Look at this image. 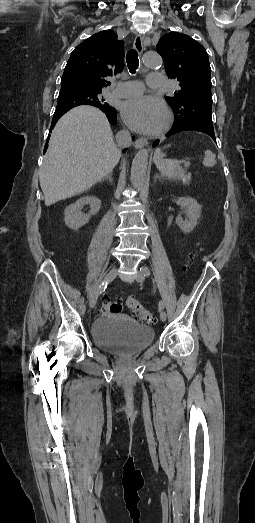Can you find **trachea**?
Listing matches in <instances>:
<instances>
[{
	"label": "trachea",
	"mask_w": 255,
	"mask_h": 523,
	"mask_svg": "<svg viewBox=\"0 0 255 523\" xmlns=\"http://www.w3.org/2000/svg\"><path fill=\"white\" fill-rule=\"evenodd\" d=\"M126 63L131 73H135L139 65L138 53L136 50H129L126 55Z\"/></svg>",
	"instance_id": "3493384b"
}]
</instances>
